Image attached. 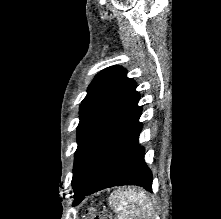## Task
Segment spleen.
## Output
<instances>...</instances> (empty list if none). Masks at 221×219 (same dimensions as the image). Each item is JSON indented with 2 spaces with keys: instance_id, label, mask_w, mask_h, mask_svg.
Here are the masks:
<instances>
[{
  "instance_id": "3e777b00",
  "label": "spleen",
  "mask_w": 221,
  "mask_h": 219,
  "mask_svg": "<svg viewBox=\"0 0 221 219\" xmlns=\"http://www.w3.org/2000/svg\"><path fill=\"white\" fill-rule=\"evenodd\" d=\"M110 205L118 219H150L154 214L152 203L142 190L126 188L111 194Z\"/></svg>"
}]
</instances>
